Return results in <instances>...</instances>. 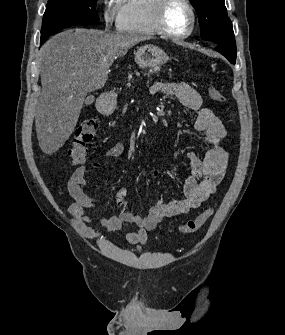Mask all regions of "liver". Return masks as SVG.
Returning <instances> with one entry per match:
<instances>
[{"label":"liver","mask_w":285,"mask_h":335,"mask_svg":"<svg viewBox=\"0 0 285 335\" xmlns=\"http://www.w3.org/2000/svg\"><path fill=\"white\" fill-rule=\"evenodd\" d=\"M144 40L151 38L75 28L52 36L42 46V94L35 126L44 154H54L64 146L76 128L88 92L104 88L116 58Z\"/></svg>","instance_id":"liver-1"}]
</instances>
